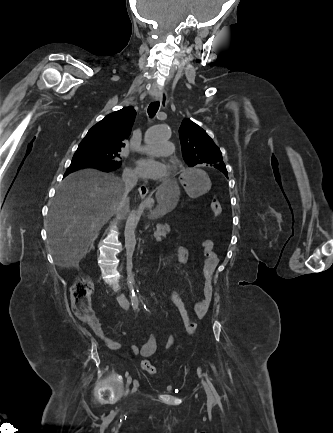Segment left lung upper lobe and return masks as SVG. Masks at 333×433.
<instances>
[{"mask_svg":"<svg viewBox=\"0 0 333 433\" xmlns=\"http://www.w3.org/2000/svg\"><path fill=\"white\" fill-rule=\"evenodd\" d=\"M183 158L188 166L212 164L221 167L227 176L221 152L208 134L189 119H184L179 129Z\"/></svg>","mask_w":333,"mask_h":433,"instance_id":"5c2ea615","label":"left lung upper lobe"}]
</instances>
